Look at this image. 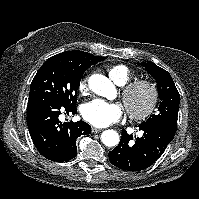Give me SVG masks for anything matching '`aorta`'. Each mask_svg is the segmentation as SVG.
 <instances>
[{
	"instance_id": "1",
	"label": "aorta",
	"mask_w": 199,
	"mask_h": 199,
	"mask_svg": "<svg viewBox=\"0 0 199 199\" xmlns=\"http://www.w3.org/2000/svg\"><path fill=\"white\" fill-rule=\"evenodd\" d=\"M90 89L99 96L111 98L115 89L113 83L101 74H94L89 78ZM101 141L108 147H113L119 143V135L114 130H106L101 134Z\"/></svg>"
}]
</instances>
